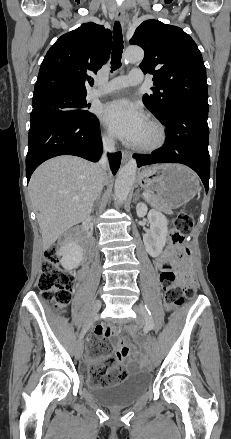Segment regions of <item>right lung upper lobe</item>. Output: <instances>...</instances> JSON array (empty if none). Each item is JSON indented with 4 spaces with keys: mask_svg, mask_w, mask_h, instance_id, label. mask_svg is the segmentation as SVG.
I'll use <instances>...</instances> for the list:
<instances>
[{
    "mask_svg": "<svg viewBox=\"0 0 231 439\" xmlns=\"http://www.w3.org/2000/svg\"><path fill=\"white\" fill-rule=\"evenodd\" d=\"M111 31L93 22L62 35L48 50L35 83L33 98L50 93L86 94L89 76L108 60Z\"/></svg>",
    "mask_w": 231,
    "mask_h": 439,
    "instance_id": "cb5924a9",
    "label": "right lung upper lobe"
}]
</instances>
